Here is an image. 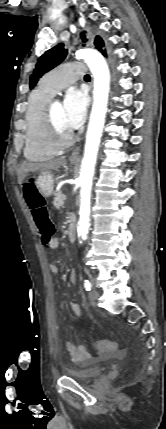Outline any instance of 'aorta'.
I'll list each match as a JSON object with an SVG mask.
<instances>
[{
    "label": "aorta",
    "mask_w": 166,
    "mask_h": 429,
    "mask_svg": "<svg viewBox=\"0 0 166 429\" xmlns=\"http://www.w3.org/2000/svg\"><path fill=\"white\" fill-rule=\"evenodd\" d=\"M76 57L83 59L87 63L94 77L93 106L86 134L84 156L81 162L79 177L81 190L78 234L82 240H85L89 230L92 181L107 111L110 73L104 57L96 50H78L76 52Z\"/></svg>",
    "instance_id": "obj_1"
}]
</instances>
